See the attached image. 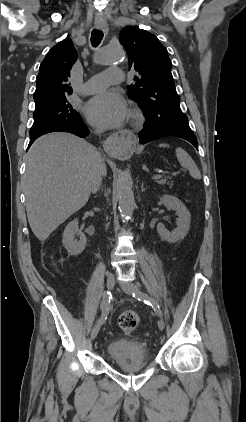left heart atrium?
<instances>
[{"label":"left heart atrium","mask_w":246,"mask_h":422,"mask_svg":"<svg viewBox=\"0 0 246 422\" xmlns=\"http://www.w3.org/2000/svg\"><path fill=\"white\" fill-rule=\"evenodd\" d=\"M86 116L89 122L98 128H117L126 121L128 108L121 95L107 91L89 100L86 105Z\"/></svg>","instance_id":"left-heart-atrium-1"}]
</instances>
